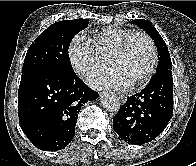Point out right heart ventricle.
I'll list each match as a JSON object with an SVG mask.
<instances>
[{"instance_id": "e07e8e85", "label": "right heart ventricle", "mask_w": 196, "mask_h": 166, "mask_svg": "<svg viewBox=\"0 0 196 166\" xmlns=\"http://www.w3.org/2000/svg\"><path fill=\"white\" fill-rule=\"evenodd\" d=\"M133 32L126 28L105 27L94 31L89 40L104 57L110 59L123 40Z\"/></svg>"}]
</instances>
